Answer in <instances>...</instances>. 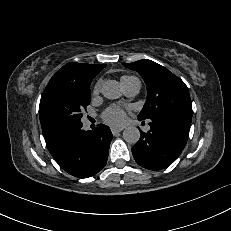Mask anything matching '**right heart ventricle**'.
<instances>
[{
    "instance_id": "right-heart-ventricle-1",
    "label": "right heart ventricle",
    "mask_w": 231,
    "mask_h": 231,
    "mask_svg": "<svg viewBox=\"0 0 231 231\" xmlns=\"http://www.w3.org/2000/svg\"><path fill=\"white\" fill-rule=\"evenodd\" d=\"M131 76H123L122 78H121V82H123V81H125L126 79H128V78H130Z\"/></svg>"
}]
</instances>
